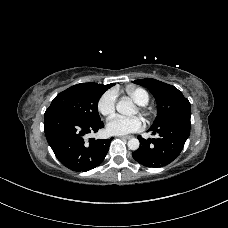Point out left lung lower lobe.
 <instances>
[{"mask_svg": "<svg viewBox=\"0 0 228 228\" xmlns=\"http://www.w3.org/2000/svg\"><path fill=\"white\" fill-rule=\"evenodd\" d=\"M190 113H184L177 118L181 122V128L175 126L177 118L170 119L157 127L150 128L156 138L140 140V147L132 153L133 158L140 164L158 168L174 161L181 153L184 144L190 134Z\"/></svg>", "mask_w": 228, "mask_h": 228, "instance_id": "obj_1", "label": "left lung lower lobe"}]
</instances>
